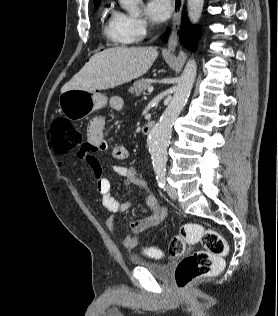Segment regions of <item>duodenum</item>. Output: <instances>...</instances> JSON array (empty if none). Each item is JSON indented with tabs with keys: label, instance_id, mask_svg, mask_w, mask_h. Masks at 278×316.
<instances>
[{
	"label": "duodenum",
	"instance_id": "obj_1",
	"mask_svg": "<svg viewBox=\"0 0 278 316\" xmlns=\"http://www.w3.org/2000/svg\"><path fill=\"white\" fill-rule=\"evenodd\" d=\"M154 126H155V122L154 121L146 122L142 126V133L145 134V135L149 134L153 130Z\"/></svg>",
	"mask_w": 278,
	"mask_h": 316
}]
</instances>
